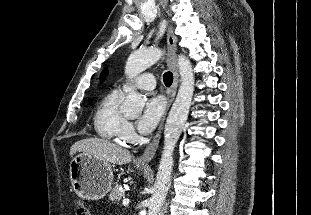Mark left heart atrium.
Returning a JSON list of instances; mask_svg holds the SVG:
<instances>
[{
    "label": "left heart atrium",
    "instance_id": "obj_1",
    "mask_svg": "<svg viewBox=\"0 0 311 215\" xmlns=\"http://www.w3.org/2000/svg\"><path fill=\"white\" fill-rule=\"evenodd\" d=\"M165 109V101L161 96L147 100L142 115L138 120V129L142 134L150 133L160 121Z\"/></svg>",
    "mask_w": 311,
    "mask_h": 215
}]
</instances>
